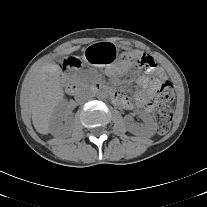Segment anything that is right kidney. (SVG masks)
<instances>
[{
    "instance_id": "obj_1",
    "label": "right kidney",
    "mask_w": 207,
    "mask_h": 207,
    "mask_svg": "<svg viewBox=\"0 0 207 207\" xmlns=\"http://www.w3.org/2000/svg\"><path fill=\"white\" fill-rule=\"evenodd\" d=\"M70 119V113L67 110V105L65 102H61L55 109L51 120H50V131L58 132L64 128L63 121Z\"/></svg>"
}]
</instances>
